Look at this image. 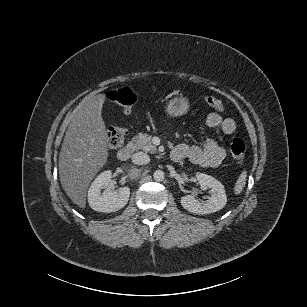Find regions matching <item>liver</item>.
Segmentation results:
<instances>
[{
  "label": "liver",
  "instance_id": "liver-1",
  "mask_svg": "<svg viewBox=\"0 0 307 307\" xmlns=\"http://www.w3.org/2000/svg\"><path fill=\"white\" fill-rule=\"evenodd\" d=\"M106 100V94L86 98L66 118L59 178L66 195L83 210L89 186L109 158L108 133L102 118Z\"/></svg>",
  "mask_w": 307,
  "mask_h": 307
}]
</instances>
